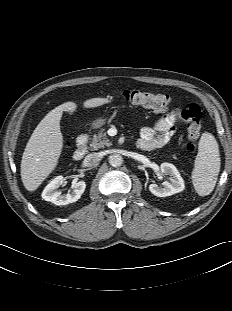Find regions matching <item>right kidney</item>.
<instances>
[{"mask_svg": "<svg viewBox=\"0 0 232 311\" xmlns=\"http://www.w3.org/2000/svg\"><path fill=\"white\" fill-rule=\"evenodd\" d=\"M64 180L63 176H57L54 178L43 190L42 198L46 201L54 203L55 205H66L76 202L85 191V182L79 181L75 184L72 192L62 195L57 189L64 184Z\"/></svg>", "mask_w": 232, "mask_h": 311, "instance_id": "1", "label": "right kidney"}]
</instances>
